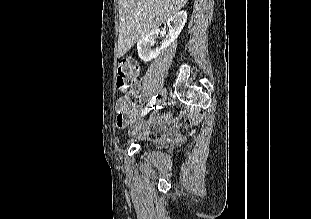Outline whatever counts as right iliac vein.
<instances>
[{
  "label": "right iliac vein",
  "mask_w": 311,
  "mask_h": 219,
  "mask_svg": "<svg viewBox=\"0 0 311 219\" xmlns=\"http://www.w3.org/2000/svg\"><path fill=\"white\" fill-rule=\"evenodd\" d=\"M161 98L157 100L158 104H161L162 101L164 100L165 96H166V90H162L161 93ZM142 124L138 127H136V129L132 132V135H134L140 128H141Z\"/></svg>",
  "instance_id": "obj_1"
}]
</instances>
